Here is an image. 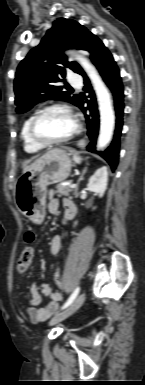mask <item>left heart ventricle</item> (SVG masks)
<instances>
[{"instance_id": "1", "label": "left heart ventricle", "mask_w": 145, "mask_h": 385, "mask_svg": "<svg viewBox=\"0 0 145 385\" xmlns=\"http://www.w3.org/2000/svg\"><path fill=\"white\" fill-rule=\"evenodd\" d=\"M74 119L64 111L53 110L46 113L38 122L37 133L46 141L62 139L75 129Z\"/></svg>"}]
</instances>
